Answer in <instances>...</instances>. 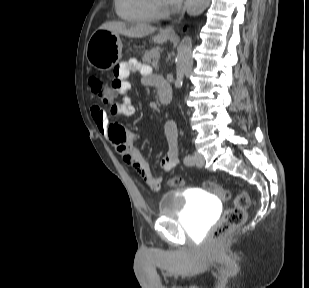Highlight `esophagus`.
Wrapping results in <instances>:
<instances>
[{"label": "esophagus", "mask_w": 309, "mask_h": 288, "mask_svg": "<svg viewBox=\"0 0 309 288\" xmlns=\"http://www.w3.org/2000/svg\"><path fill=\"white\" fill-rule=\"evenodd\" d=\"M184 13H185V7L182 9L181 13L173 21L172 24L166 26L165 28H163L161 30V34H163V35H173L174 34V30H175V26L181 21V19L183 18Z\"/></svg>", "instance_id": "esophagus-1"}]
</instances>
